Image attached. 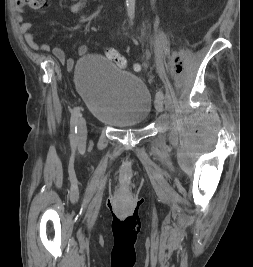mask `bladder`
<instances>
[{
  "label": "bladder",
  "instance_id": "bladder-1",
  "mask_svg": "<svg viewBox=\"0 0 253 267\" xmlns=\"http://www.w3.org/2000/svg\"><path fill=\"white\" fill-rule=\"evenodd\" d=\"M76 84L92 116L102 123L128 127L150 117L152 96L145 83L101 55L79 58Z\"/></svg>",
  "mask_w": 253,
  "mask_h": 267
}]
</instances>
